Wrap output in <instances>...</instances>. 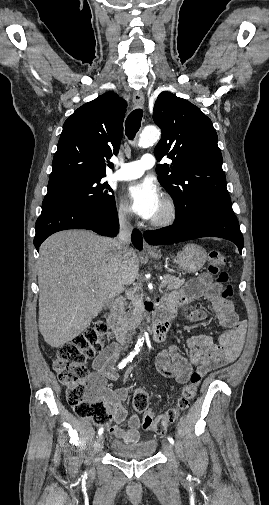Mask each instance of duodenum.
<instances>
[{
	"mask_svg": "<svg viewBox=\"0 0 269 505\" xmlns=\"http://www.w3.org/2000/svg\"><path fill=\"white\" fill-rule=\"evenodd\" d=\"M124 300L117 299L110 308L107 323L112 330L113 336L119 343H128L134 334V326L129 324L123 316ZM174 308L165 300L162 309L150 326L152 337L160 342L166 338Z\"/></svg>",
	"mask_w": 269,
	"mask_h": 505,
	"instance_id": "410a0bca",
	"label": "duodenum"
}]
</instances>
